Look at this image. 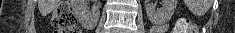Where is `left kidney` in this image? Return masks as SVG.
Returning <instances> with one entry per match:
<instances>
[{
    "label": "left kidney",
    "mask_w": 235,
    "mask_h": 33,
    "mask_svg": "<svg viewBox=\"0 0 235 33\" xmlns=\"http://www.w3.org/2000/svg\"><path fill=\"white\" fill-rule=\"evenodd\" d=\"M177 7V0H162V8L156 9L153 3L145 6L148 19L154 24H162L171 19Z\"/></svg>",
    "instance_id": "5707ae66"
}]
</instances>
